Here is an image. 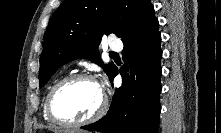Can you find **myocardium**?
I'll return each instance as SVG.
<instances>
[{
    "mask_svg": "<svg viewBox=\"0 0 221 133\" xmlns=\"http://www.w3.org/2000/svg\"><path fill=\"white\" fill-rule=\"evenodd\" d=\"M78 80H87V81L94 82L95 84L98 85L95 77L90 74H87V73L71 74V75H68V76L60 79L58 82H56L51 87L50 91L48 92V94L46 96V100H45V110H46L47 116L51 122H53L57 125L63 126V127H80V126H84V125L90 124V123L98 120L105 113V111L107 109V98L104 95V93L102 92V98H101V102H100L98 108L96 109V111L93 114H91L89 117H87L85 119L78 120V121H64L55 115V113L53 111V107H52V101H53V97H54L55 93L64 85H66L70 82H73V81H78Z\"/></svg>",
    "mask_w": 221,
    "mask_h": 133,
    "instance_id": "myocardium-1",
    "label": "myocardium"
}]
</instances>
